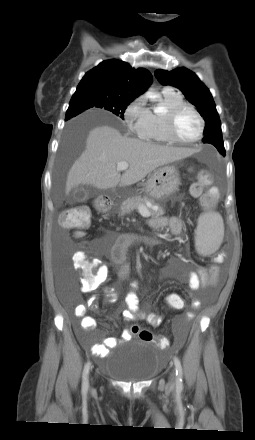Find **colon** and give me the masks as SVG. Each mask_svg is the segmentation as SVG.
I'll return each mask as SVG.
<instances>
[{"instance_id":"colon-1","label":"colon","mask_w":255,"mask_h":440,"mask_svg":"<svg viewBox=\"0 0 255 440\" xmlns=\"http://www.w3.org/2000/svg\"><path fill=\"white\" fill-rule=\"evenodd\" d=\"M211 174L207 170H201L198 181L191 187V193L195 197H202L207 206H212L216 199V193L210 191L205 193V189L211 183ZM91 221V211L86 205H78L64 210L60 217V225L64 228L83 231L88 228ZM74 268L82 273L81 288L92 290L95 287L99 273V267L83 251L77 252L73 258ZM163 303L168 306L169 311H185V298H164ZM131 332L136 334L144 342H153L154 346L169 348L170 341L165 334L155 335L150 330L141 328L138 325L131 327Z\"/></svg>"}]
</instances>
